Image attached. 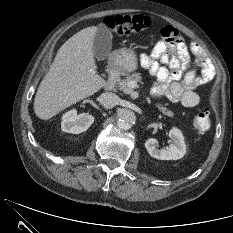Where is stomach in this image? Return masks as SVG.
Returning <instances> with one entry per match:
<instances>
[{
  "mask_svg": "<svg viewBox=\"0 0 233 233\" xmlns=\"http://www.w3.org/2000/svg\"><path fill=\"white\" fill-rule=\"evenodd\" d=\"M116 63L124 71L131 72L137 69V57L132 49L122 48L116 52Z\"/></svg>",
  "mask_w": 233,
  "mask_h": 233,
  "instance_id": "stomach-1",
  "label": "stomach"
}]
</instances>
